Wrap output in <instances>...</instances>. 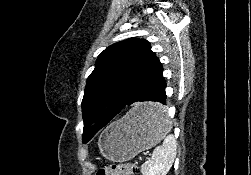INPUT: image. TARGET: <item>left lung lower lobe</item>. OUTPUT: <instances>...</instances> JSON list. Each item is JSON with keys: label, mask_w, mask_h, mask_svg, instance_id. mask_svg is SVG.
Masks as SVG:
<instances>
[{"label": "left lung lower lobe", "mask_w": 251, "mask_h": 175, "mask_svg": "<svg viewBox=\"0 0 251 175\" xmlns=\"http://www.w3.org/2000/svg\"><path fill=\"white\" fill-rule=\"evenodd\" d=\"M163 66L159 63L146 74L135 86L129 99L121 104H108L94 111L93 120L104 126L118 116L141 121H159L166 117V81L163 77ZM156 102V103H139ZM101 118V119H100ZM100 119V120H99Z\"/></svg>", "instance_id": "1"}]
</instances>
